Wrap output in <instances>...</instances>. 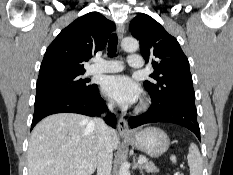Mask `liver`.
<instances>
[{
	"instance_id": "1",
	"label": "liver",
	"mask_w": 233,
	"mask_h": 175,
	"mask_svg": "<svg viewBox=\"0 0 233 175\" xmlns=\"http://www.w3.org/2000/svg\"><path fill=\"white\" fill-rule=\"evenodd\" d=\"M91 121L75 113L54 114L40 121L29 141L28 175H92L98 163V138ZM109 137L115 150L118 135L112 128Z\"/></svg>"
}]
</instances>
